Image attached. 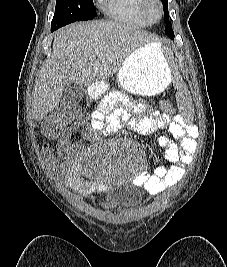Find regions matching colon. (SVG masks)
<instances>
[{
	"label": "colon",
	"mask_w": 227,
	"mask_h": 267,
	"mask_svg": "<svg viewBox=\"0 0 227 267\" xmlns=\"http://www.w3.org/2000/svg\"><path fill=\"white\" fill-rule=\"evenodd\" d=\"M162 109L171 110L172 100H162ZM78 107L49 114L41 124V134L47 139L61 138L65 127L79 114ZM60 140V139H59Z\"/></svg>",
	"instance_id": "obj_1"
}]
</instances>
